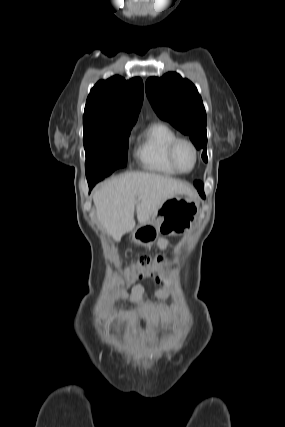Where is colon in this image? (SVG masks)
<instances>
[{
	"mask_svg": "<svg viewBox=\"0 0 285 427\" xmlns=\"http://www.w3.org/2000/svg\"><path fill=\"white\" fill-rule=\"evenodd\" d=\"M165 266L166 264L162 258L141 257L135 266L123 272L121 284L128 285L135 278H151L166 286L168 281L162 276Z\"/></svg>",
	"mask_w": 285,
	"mask_h": 427,
	"instance_id": "1",
	"label": "colon"
}]
</instances>
